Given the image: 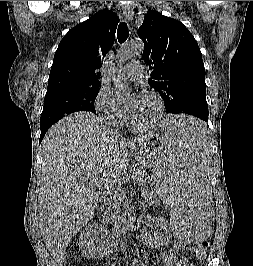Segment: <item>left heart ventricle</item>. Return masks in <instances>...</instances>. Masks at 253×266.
Here are the masks:
<instances>
[{
	"label": "left heart ventricle",
	"mask_w": 253,
	"mask_h": 266,
	"mask_svg": "<svg viewBox=\"0 0 253 266\" xmlns=\"http://www.w3.org/2000/svg\"><path fill=\"white\" fill-rule=\"evenodd\" d=\"M131 98L127 101L130 104ZM131 117L140 124L150 122L157 113L155 100L148 95H140L134 106L129 110Z\"/></svg>",
	"instance_id": "b2bd125f"
}]
</instances>
